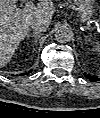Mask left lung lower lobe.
I'll return each mask as SVG.
<instances>
[{
    "instance_id": "obj_1",
    "label": "left lung lower lobe",
    "mask_w": 100,
    "mask_h": 118,
    "mask_svg": "<svg viewBox=\"0 0 100 118\" xmlns=\"http://www.w3.org/2000/svg\"><path fill=\"white\" fill-rule=\"evenodd\" d=\"M86 77L91 81H97L98 80V78L96 76L86 75Z\"/></svg>"
}]
</instances>
